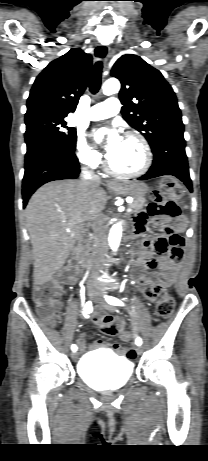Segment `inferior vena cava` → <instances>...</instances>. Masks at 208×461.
Masks as SVG:
<instances>
[{"label":"inferior vena cava","mask_w":208,"mask_h":461,"mask_svg":"<svg viewBox=\"0 0 208 461\" xmlns=\"http://www.w3.org/2000/svg\"><path fill=\"white\" fill-rule=\"evenodd\" d=\"M83 176L87 181H90L93 184H99L100 178L98 176H94L91 173L84 171ZM92 227L96 235V252H95V259L92 264L91 268V275L93 277H97L103 268L102 262L103 258L107 253L108 244H107V233L106 229L103 225V220L101 218V214H97L94 219L92 220Z\"/></svg>","instance_id":"1"}]
</instances>
